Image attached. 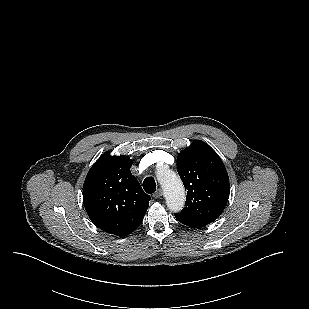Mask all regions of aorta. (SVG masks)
Wrapping results in <instances>:
<instances>
[{"instance_id": "762f6f07", "label": "aorta", "mask_w": 309, "mask_h": 309, "mask_svg": "<svg viewBox=\"0 0 309 309\" xmlns=\"http://www.w3.org/2000/svg\"><path fill=\"white\" fill-rule=\"evenodd\" d=\"M157 178L164 190L167 207L173 212L182 210L186 195L179 176L174 171L162 167L157 173Z\"/></svg>"}]
</instances>
